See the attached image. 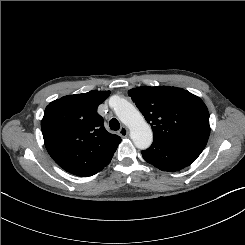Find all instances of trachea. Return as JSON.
I'll return each instance as SVG.
<instances>
[{
  "label": "trachea",
  "mask_w": 245,
  "mask_h": 245,
  "mask_svg": "<svg viewBox=\"0 0 245 245\" xmlns=\"http://www.w3.org/2000/svg\"><path fill=\"white\" fill-rule=\"evenodd\" d=\"M110 129L117 131L120 128V124L117 119L113 118L109 122Z\"/></svg>",
  "instance_id": "1"
}]
</instances>
